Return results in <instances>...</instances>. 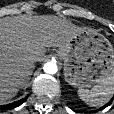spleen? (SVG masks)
Masks as SVG:
<instances>
[{"instance_id":"3e777b00","label":"spleen","mask_w":114,"mask_h":114,"mask_svg":"<svg viewBox=\"0 0 114 114\" xmlns=\"http://www.w3.org/2000/svg\"><path fill=\"white\" fill-rule=\"evenodd\" d=\"M114 94V71L104 79H101L91 89L79 88L78 95L86 104L100 107L106 104Z\"/></svg>"}]
</instances>
